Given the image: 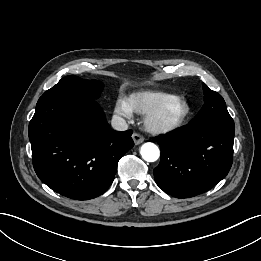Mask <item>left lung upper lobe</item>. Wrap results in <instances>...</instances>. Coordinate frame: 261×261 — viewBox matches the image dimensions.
Segmentation results:
<instances>
[{
	"label": "left lung upper lobe",
	"instance_id": "obj_1",
	"mask_svg": "<svg viewBox=\"0 0 261 261\" xmlns=\"http://www.w3.org/2000/svg\"><path fill=\"white\" fill-rule=\"evenodd\" d=\"M203 90L205 95V103L191 122L201 123L233 120L227 111L226 104L222 96L211 90L205 83H203Z\"/></svg>",
	"mask_w": 261,
	"mask_h": 261
}]
</instances>
